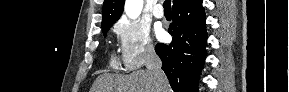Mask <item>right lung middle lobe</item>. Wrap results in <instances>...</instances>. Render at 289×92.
Segmentation results:
<instances>
[{"label":"right lung middle lobe","instance_id":"obj_1","mask_svg":"<svg viewBox=\"0 0 289 92\" xmlns=\"http://www.w3.org/2000/svg\"><path fill=\"white\" fill-rule=\"evenodd\" d=\"M111 26H112V25H109V26H106V27H103V28H102L104 37L106 36V34H107V32H108V30L110 29Z\"/></svg>","mask_w":289,"mask_h":92}]
</instances>
